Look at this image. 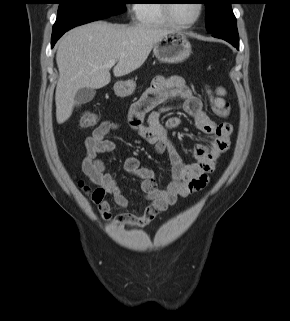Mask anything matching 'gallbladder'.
<instances>
[{
  "label": "gallbladder",
  "instance_id": "obj_1",
  "mask_svg": "<svg viewBox=\"0 0 290 321\" xmlns=\"http://www.w3.org/2000/svg\"><path fill=\"white\" fill-rule=\"evenodd\" d=\"M95 94L96 91L93 88L79 89L74 98L75 105L79 106L90 102L94 98Z\"/></svg>",
  "mask_w": 290,
  "mask_h": 321
}]
</instances>
